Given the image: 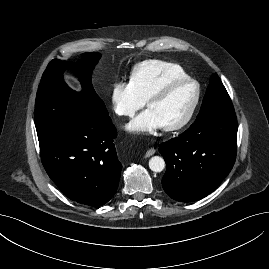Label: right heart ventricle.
<instances>
[{"label": "right heart ventricle", "instance_id": "obj_1", "mask_svg": "<svg viewBox=\"0 0 269 269\" xmlns=\"http://www.w3.org/2000/svg\"><path fill=\"white\" fill-rule=\"evenodd\" d=\"M186 77H188L186 72L177 64L161 60H146L133 68L130 82L145 102L151 94L167 83Z\"/></svg>", "mask_w": 269, "mask_h": 269}]
</instances>
